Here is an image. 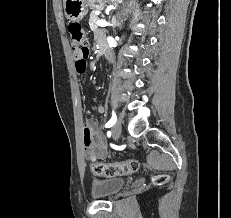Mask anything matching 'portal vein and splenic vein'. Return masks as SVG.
<instances>
[{
  "mask_svg": "<svg viewBox=\"0 0 231 218\" xmlns=\"http://www.w3.org/2000/svg\"><path fill=\"white\" fill-rule=\"evenodd\" d=\"M96 24H97V26H100V27H106V26L109 25V23L107 21H105V20H98L96 22Z\"/></svg>",
  "mask_w": 231,
  "mask_h": 218,
  "instance_id": "1",
  "label": "portal vein and splenic vein"
}]
</instances>
